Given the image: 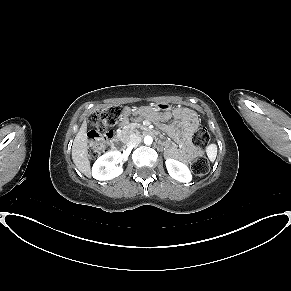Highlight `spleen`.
I'll return each instance as SVG.
<instances>
[{
    "label": "spleen",
    "mask_w": 291,
    "mask_h": 291,
    "mask_svg": "<svg viewBox=\"0 0 291 291\" xmlns=\"http://www.w3.org/2000/svg\"><path fill=\"white\" fill-rule=\"evenodd\" d=\"M207 156L211 161H214L217 156V145L211 144L207 147Z\"/></svg>",
    "instance_id": "1"
}]
</instances>
